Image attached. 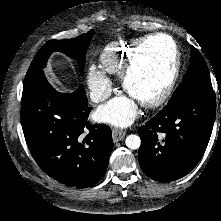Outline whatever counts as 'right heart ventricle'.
Returning <instances> with one entry per match:
<instances>
[{"instance_id":"1","label":"right heart ventricle","mask_w":221,"mask_h":221,"mask_svg":"<svg viewBox=\"0 0 221 221\" xmlns=\"http://www.w3.org/2000/svg\"><path fill=\"white\" fill-rule=\"evenodd\" d=\"M143 37L137 36L108 44L100 55V69L106 75H120L135 45Z\"/></svg>"}]
</instances>
